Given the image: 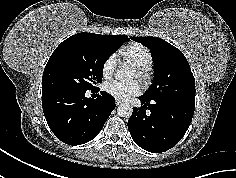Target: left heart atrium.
<instances>
[{
	"label": "left heart atrium",
	"mask_w": 236,
	"mask_h": 178,
	"mask_svg": "<svg viewBox=\"0 0 236 178\" xmlns=\"http://www.w3.org/2000/svg\"><path fill=\"white\" fill-rule=\"evenodd\" d=\"M104 90L115 99L125 101L138 94L141 90V86L137 80H111L104 84Z\"/></svg>",
	"instance_id": "obj_1"
}]
</instances>
